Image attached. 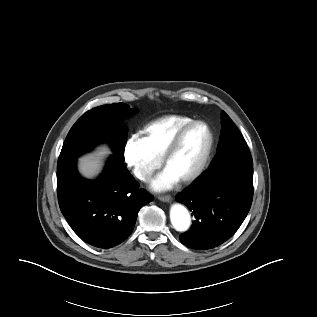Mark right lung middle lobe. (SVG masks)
Segmentation results:
<instances>
[{
	"label": "right lung middle lobe",
	"instance_id": "dd1d6c3e",
	"mask_svg": "<svg viewBox=\"0 0 317 317\" xmlns=\"http://www.w3.org/2000/svg\"><path fill=\"white\" fill-rule=\"evenodd\" d=\"M134 113L125 103L99 106L81 116L69 131L63 144L57 170L76 161L100 142H109L114 155L124 159L127 132L120 127L123 119Z\"/></svg>",
	"mask_w": 317,
	"mask_h": 317
}]
</instances>
